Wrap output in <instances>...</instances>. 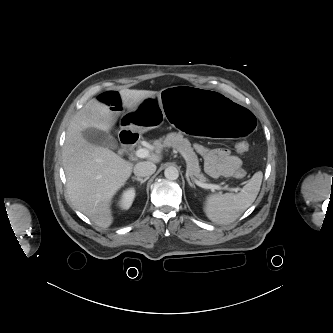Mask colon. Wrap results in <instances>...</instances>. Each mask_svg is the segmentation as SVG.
I'll return each mask as SVG.
<instances>
[{"label": "colon", "instance_id": "5ec220e1", "mask_svg": "<svg viewBox=\"0 0 333 333\" xmlns=\"http://www.w3.org/2000/svg\"><path fill=\"white\" fill-rule=\"evenodd\" d=\"M236 149L239 153H244L249 149V145L245 141H240L237 143ZM234 176L237 179H243L246 176V172L243 169H238L235 172Z\"/></svg>", "mask_w": 333, "mask_h": 333}]
</instances>
